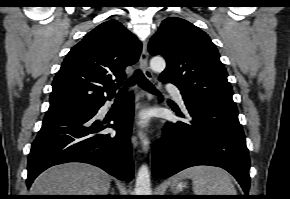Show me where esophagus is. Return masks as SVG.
Here are the masks:
<instances>
[{"label":"esophagus","instance_id":"1","mask_svg":"<svg viewBox=\"0 0 290 199\" xmlns=\"http://www.w3.org/2000/svg\"><path fill=\"white\" fill-rule=\"evenodd\" d=\"M140 65L143 70L144 75L149 79H153V73L151 72L149 66H148V52H147V42H143L142 52L140 56ZM144 95L149 98V94L144 92ZM138 138L140 140L142 149L144 152H148L150 147V140L147 136V133L143 129H139L137 132Z\"/></svg>","mask_w":290,"mask_h":199}]
</instances>
